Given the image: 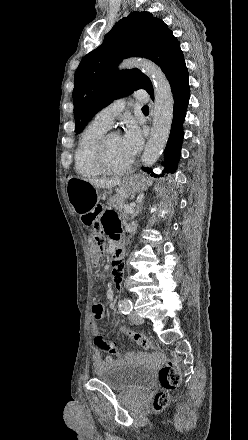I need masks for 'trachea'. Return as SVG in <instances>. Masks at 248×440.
Returning a JSON list of instances; mask_svg holds the SVG:
<instances>
[{
	"instance_id": "1",
	"label": "trachea",
	"mask_w": 248,
	"mask_h": 440,
	"mask_svg": "<svg viewBox=\"0 0 248 440\" xmlns=\"http://www.w3.org/2000/svg\"><path fill=\"white\" fill-rule=\"evenodd\" d=\"M142 110H149V107L148 106H143Z\"/></svg>"
}]
</instances>
